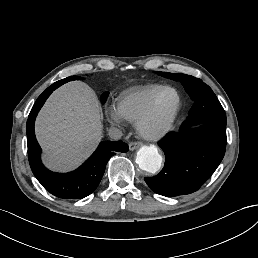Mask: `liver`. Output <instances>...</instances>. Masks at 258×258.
<instances>
[{
    "label": "liver",
    "mask_w": 258,
    "mask_h": 258,
    "mask_svg": "<svg viewBox=\"0 0 258 258\" xmlns=\"http://www.w3.org/2000/svg\"><path fill=\"white\" fill-rule=\"evenodd\" d=\"M101 108L92 88L71 81L55 90L35 122L45 165L57 171L80 165L102 138Z\"/></svg>",
    "instance_id": "liver-1"
}]
</instances>
